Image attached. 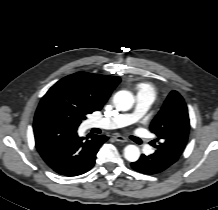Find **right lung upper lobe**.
Masks as SVG:
<instances>
[{
  "mask_svg": "<svg viewBox=\"0 0 218 210\" xmlns=\"http://www.w3.org/2000/svg\"><path fill=\"white\" fill-rule=\"evenodd\" d=\"M119 83L120 78L116 76L78 72L64 77L53 86L69 94L92 113L101 110Z\"/></svg>",
  "mask_w": 218,
  "mask_h": 210,
  "instance_id": "right-lung-upper-lobe-1",
  "label": "right lung upper lobe"
}]
</instances>
